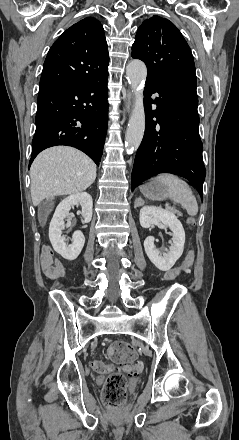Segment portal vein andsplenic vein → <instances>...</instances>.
<instances>
[{
	"label": "portal vein and splenic vein",
	"mask_w": 239,
	"mask_h": 440,
	"mask_svg": "<svg viewBox=\"0 0 239 440\" xmlns=\"http://www.w3.org/2000/svg\"><path fill=\"white\" fill-rule=\"evenodd\" d=\"M170 205H171V204L167 201V202H166V205H164V208L169 209V208H170V207H169Z\"/></svg>",
	"instance_id": "obj_1"
}]
</instances>
